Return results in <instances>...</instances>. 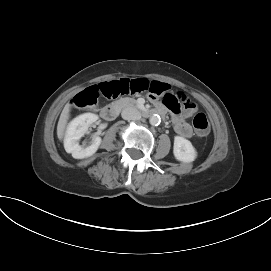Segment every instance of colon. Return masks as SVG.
<instances>
[{
  "label": "colon",
  "mask_w": 271,
  "mask_h": 271,
  "mask_svg": "<svg viewBox=\"0 0 271 271\" xmlns=\"http://www.w3.org/2000/svg\"><path fill=\"white\" fill-rule=\"evenodd\" d=\"M153 82V81H152ZM152 82L146 79H119L109 82H103L98 85H92L83 91L79 92L73 98L74 106L78 108L93 107L97 104L100 95L106 97H118L122 95H134L144 92H148L149 86H152ZM158 98L162 104H164L173 113L179 114L181 112V104L179 100L172 94L168 93V87L165 95H152ZM184 107L186 109L192 108V105L184 101ZM193 127L198 137H206L209 133L210 126L208 119L204 113H197L193 118Z\"/></svg>",
  "instance_id": "5ec220e1"
}]
</instances>
